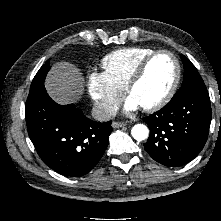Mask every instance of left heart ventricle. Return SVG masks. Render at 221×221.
<instances>
[{
	"label": "left heart ventricle",
	"instance_id": "1",
	"mask_svg": "<svg viewBox=\"0 0 221 221\" xmlns=\"http://www.w3.org/2000/svg\"><path fill=\"white\" fill-rule=\"evenodd\" d=\"M175 75V64L168 54H160L149 64L142 80L131 93L140 106L158 101L169 89Z\"/></svg>",
	"mask_w": 221,
	"mask_h": 221
}]
</instances>
